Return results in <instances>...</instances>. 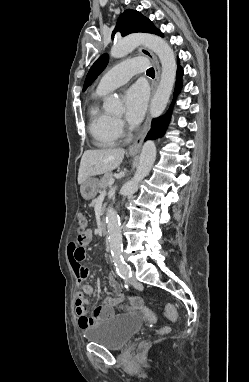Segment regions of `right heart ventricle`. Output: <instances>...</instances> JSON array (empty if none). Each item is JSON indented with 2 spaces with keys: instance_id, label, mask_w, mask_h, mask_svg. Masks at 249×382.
<instances>
[{
  "instance_id": "obj_1",
  "label": "right heart ventricle",
  "mask_w": 249,
  "mask_h": 382,
  "mask_svg": "<svg viewBox=\"0 0 249 382\" xmlns=\"http://www.w3.org/2000/svg\"><path fill=\"white\" fill-rule=\"evenodd\" d=\"M105 94L97 90L88 109L90 133L96 144L103 148L115 145L119 139L114 129L113 116L100 105V100Z\"/></svg>"
}]
</instances>
